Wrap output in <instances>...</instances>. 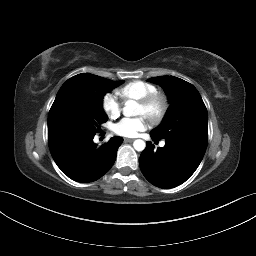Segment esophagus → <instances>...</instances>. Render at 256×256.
Segmentation results:
<instances>
[{
    "instance_id": "1",
    "label": "esophagus",
    "mask_w": 256,
    "mask_h": 256,
    "mask_svg": "<svg viewBox=\"0 0 256 256\" xmlns=\"http://www.w3.org/2000/svg\"><path fill=\"white\" fill-rule=\"evenodd\" d=\"M133 141H134V139H131V138H125V139H124V142H125V143L133 142Z\"/></svg>"
}]
</instances>
